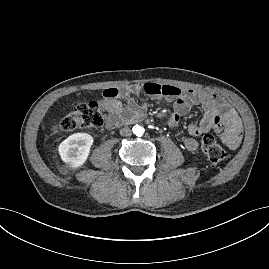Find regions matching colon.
Here are the masks:
<instances>
[{"label":"colon","instance_id":"1","mask_svg":"<svg viewBox=\"0 0 269 269\" xmlns=\"http://www.w3.org/2000/svg\"><path fill=\"white\" fill-rule=\"evenodd\" d=\"M107 115L97 102L82 103L70 110L60 121V128L65 132L78 129L98 128L107 120ZM201 149L213 164H220L227 159V152L211 134L203 135Z\"/></svg>","mask_w":269,"mask_h":269}]
</instances>
